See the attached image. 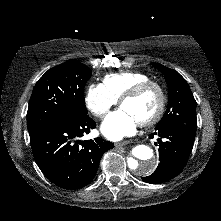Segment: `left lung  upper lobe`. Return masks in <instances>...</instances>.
<instances>
[{"mask_svg":"<svg viewBox=\"0 0 221 221\" xmlns=\"http://www.w3.org/2000/svg\"><path fill=\"white\" fill-rule=\"evenodd\" d=\"M164 75L169 89L166 113L157 124V128L171 127L179 130L191 139L195 138L196 101L186 80L175 70L159 63H151Z\"/></svg>","mask_w":221,"mask_h":221,"instance_id":"5c2ea615","label":"left lung upper lobe"}]
</instances>
